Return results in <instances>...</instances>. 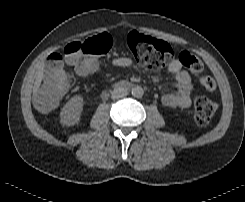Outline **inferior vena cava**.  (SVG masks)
<instances>
[{
	"mask_svg": "<svg viewBox=\"0 0 245 202\" xmlns=\"http://www.w3.org/2000/svg\"><path fill=\"white\" fill-rule=\"evenodd\" d=\"M127 91L124 88H115L112 92H111V97L112 99H119V98H123L127 95Z\"/></svg>",
	"mask_w": 245,
	"mask_h": 202,
	"instance_id": "602c4592",
	"label": "inferior vena cava"
}]
</instances>
